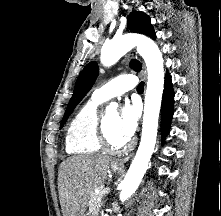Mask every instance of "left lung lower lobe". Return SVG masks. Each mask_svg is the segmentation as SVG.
I'll return each mask as SVG.
<instances>
[{
	"mask_svg": "<svg viewBox=\"0 0 221 216\" xmlns=\"http://www.w3.org/2000/svg\"><path fill=\"white\" fill-rule=\"evenodd\" d=\"M174 93L172 88L171 76L167 73L165 77V88L161 105V134L162 141L169 133L170 122L173 116Z\"/></svg>",
	"mask_w": 221,
	"mask_h": 216,
	"instance_id": "0a47b994",
	"label": "left lung lower lobe"
}]
</instances>
